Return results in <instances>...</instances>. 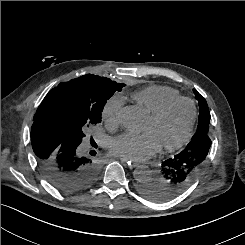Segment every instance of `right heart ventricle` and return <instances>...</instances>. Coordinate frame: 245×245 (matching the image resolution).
Returning a JSON list of instances; mask_svg holds the SVG:
<instances>
[{
    "label": "right heart ventricle",
    "mask_w": 245,
    "mask_h": 245,
    "mask_svg": "<svg viewBox=\"0 0 245 245\" xmlns=\"http://www.w3.org/2000/svg\"><path fill=\"white\" fill-rule=\"evenodd\" d=\"M181 97V94L166 86H148L135 94L138 103L144 107L148 113H152L167 101Z\"/></svg>",
    "instance_id": "1"
}]
</instances>
